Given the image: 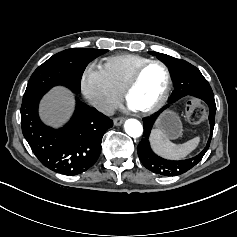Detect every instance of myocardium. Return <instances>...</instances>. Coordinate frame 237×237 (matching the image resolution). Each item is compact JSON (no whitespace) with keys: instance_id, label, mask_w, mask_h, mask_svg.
<instances>
[{"instance_id":"1","label":"myocardium","mask_w":237,"mask_h":237,"mask_svg":"<svg viewBox=\"0 0 237 237\" xmlns=\"http://www.w3.org/2000/svg\"><path fill=\"white\" fill-rule=\"evenodd\" d=\"M154 64L160 65L164 69L165 74H166V85H165V89L162 93V96L153 106H151L150 108L145 109V110L136 111L141 116H150L152 114H155L166 104V102L170 96L171 87H172V75H171V71H170L169 67L161 60H149L146 63H144L143 65H141L136 70V72L130 78V80L128 81V83L126 84V86L123 90V98L128 103L129 96H130L132 90L138 84V82L141 78V75L143 74V72L145 71V69L147 67H149L150 65H154Z\"/></svg>"}]
</instances>
